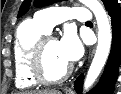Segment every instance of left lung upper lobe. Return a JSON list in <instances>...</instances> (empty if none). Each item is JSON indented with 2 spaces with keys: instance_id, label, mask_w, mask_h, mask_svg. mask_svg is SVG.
Segmentation results:
<instances>
[{
  "instance_id": "5c2ea615",
  "label": "left lung upper lobe",
  "mask_w": 121,
  "mask_h": 94,
  "mask_svg": "<svg viewBox=\"0 0 121 94\" xmlns=\"http://www.w3.org/2000/svg\"><path fill=\"white\" fill-rule=\"evenodd\" d=\"M58 1H61V0H34L33 3H34V6L36 7H42V6L50 5L52 3H56ZM102 2L105 5L106 11H109L112 7L118 4L117 0H102ZM31 3H32V0H24V2L22 3L19 9L18 17L22 16L28 11Z\"/></svg>"
}]
</instances>
